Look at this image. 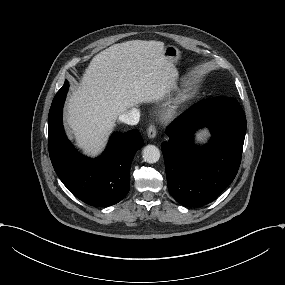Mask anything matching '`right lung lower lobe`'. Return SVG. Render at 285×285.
<instances>
[{
    "label": "right lung lower lobe",
    "instance_id": "right-lung-lower-lobe-1",
    "mask_svg": "<svg viewBox=\"0 0 285 285\" xmlns=\"http://www.w3.org/2000/svg\"><path fill=\"white\" fill-rule=\"evenodd\" d=\"M69 83L55 95L48 116V146L51 162L63 184L81 201L107 207L121 201L130 188V166L143 146L137 129L114 133L106 151L96 159L79 154L68 141L62 110Z\"/></svg>",
    "mask_w": 285,
    "mask_h": 285
}]
</instances>
